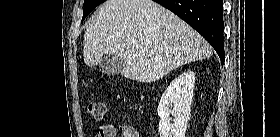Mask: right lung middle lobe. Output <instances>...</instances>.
Wrapping results in <instances>:
<instances>
[{
    "instance_id": "dd1d6c3e",
    "label": "right lung middle lobe",
    "mask_w": 280,
    "mask_h": 137,
    "mask_svg": "<svg viewBox=\"0 0 280 137\" xmlns=\"http://www.w3.org/2000/svg\"><path fill=\"white\" fill-rule=\"evenodd\" d=\"M105 0H84V12L82 21L86 18V16L99 4L104 2ZM81 21V22H82Z\"/></svg>"
}]
</instances>
